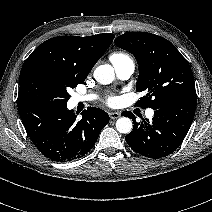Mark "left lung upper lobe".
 <instances>
[{
    "mask_svg": "<svg viewBox=\"0 0 212 212\" xmlns=\"http://www.w3.org/2000/svg\"><path fill=\"white\" fill-rule=\"evenodd\" d=\"M114 43L132 53L139 65L138 92L147 94L137 106L153 110L180 99H196L192 70L187 60L165 38L151 33L129 32Z\"/></svg>",
    "mask_w": 212,
    "mask_h": 212,
    "instance_id": "obj_1",
    "label": "left lung upper lobe"
}]
</instances>
